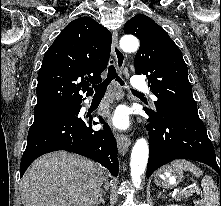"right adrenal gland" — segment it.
<instances>
[{
  "instance_id": "obj_1",
  "label": "right adrenal gland",
  "mask_w": 221,
  "mask_h": 206,
  "mask_svg": "<svg viewBox=\"0 0 221 206\" xmlns=\"http://www.w3.org/2000/svg\"><path fill=\"white\" fill-rule=\"evenodd\" d=\"M105 196H106V193L104 191H100L99 201H97L96 206H98L99 204L105 205V200H104Z\"/></svg>"
}]
</instances>
